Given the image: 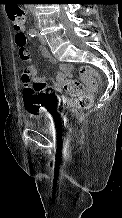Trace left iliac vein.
<instances>
[{
	"label": "left iliac vein",
	"mask_w": 122,
	"mask_h": 218,
	"mask_svg": "<svg viewBox=\"0 0 122 218\" xmlns=\"http://www.w3.org/2000/svg\"><path fill=\"white\" fill-rule=\"evenodd\" d=\"M39 37V41L42 45H46L47 42H46V39L44 37H41V36H38Z\"/></svg>",
	"instance_id": "left-iliac-vein-1"
}]
</instances>
